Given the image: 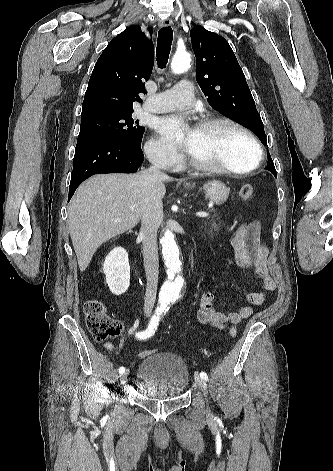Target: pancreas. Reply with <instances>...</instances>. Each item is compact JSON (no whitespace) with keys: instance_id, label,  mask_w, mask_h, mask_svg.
<instances>
[{"instance_id":"1","label":"pancreas","mask_w":333,"mask_h":471,"mask_svg":"<svg viewBox=\"0 0 333 471\" xmlns=\"http://www.w3.org/2000/svg\"><path fill=\"white\" fill-rule=\"evenodd\" d=\"M222 223L218 221V219L212 218L209 222H204V229L208 232L213 234L214 232H218L220 230Z\"/></svg>"}]
</instances>
